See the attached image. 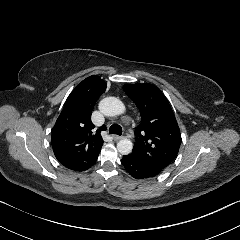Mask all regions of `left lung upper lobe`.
I'll return each mask as SVG.
<instances>
[{
  "mask_svg": "<svg viewBox=\"0 0 240 240\" xmlns=\"http://www.w3.org/2000/svg\"><path fill=\"white\" fill-rule=\"evenodd\" d=\"M123 89L140 110L142 121L132 153L144 166L164 169L177 156L181 134L176 118L163 93L154 85L125 84Z\"/></svg>",
  "mask_w": 240,
  "mask_h": 240,
  "instance_id": "1",
  "label": "left lung upper lobe"
}]
</instances>
